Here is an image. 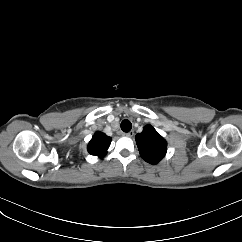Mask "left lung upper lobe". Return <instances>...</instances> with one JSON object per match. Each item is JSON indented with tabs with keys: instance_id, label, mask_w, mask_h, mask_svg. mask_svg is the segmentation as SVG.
Segmentation results:
<instances>
[{
	"instance_id": "obj_1",
	"label": "left lung upper lobe",
	"mask_w": 242,
	"mask_h": 242,
	"mask_svg": "<svg viewBox=\"0 0 242 242\" xmlns=\"http://www.w3.org/2000/svg\"><path fill=\"white\" fill-rule=\"evenodd\" d=\"M135 139L140 155L146 162L157 164L165 156L167 142L151 125H146Z\"/></svg>"
}]
</instances>
